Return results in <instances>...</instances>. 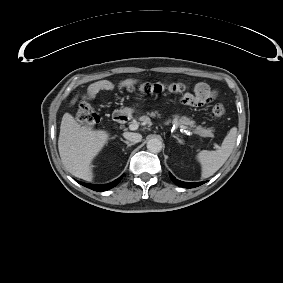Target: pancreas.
I'll list each match as a JSON object with an SVG mask.
<instances>
[{
  "instance_id": "1",
  "label": "pancreas",
  "mask_w": 283,
  "mask_h": 283,
  "mask_svg": "<svg viewBox=\"0 0 283 283\" xmlns=\"http://www.w3.org/2000/svg\"><path fill=\"white\" fill-rule=\"evenodd\" d=\"M151 116H155V113H152ZM175 121H176L177 125H180L182 121L185 122V121H187V119L186 118H180V117L177 116V117H175Z\"/></svg>"
}]
</instances>
